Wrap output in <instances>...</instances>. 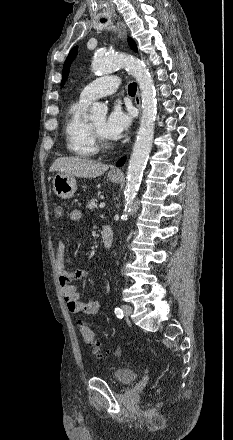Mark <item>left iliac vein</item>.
<instances>
[{"instance_id": "1", "label": "left iliac vein", "mask_w": 233, "mask_h": 440, "mask_svg": "<svg viewBox=\"0 0 233 440\" xmlns=\"http://www.w3.org/2000/svg\"><path fill=\"white\" fill-rule=\"evenodd\" d=\"M122 309H123L124 315L126 317H129L132 314L133 309H132V307L130 305L124 304L122 306Z\"/></svg>"}]
</instances>
